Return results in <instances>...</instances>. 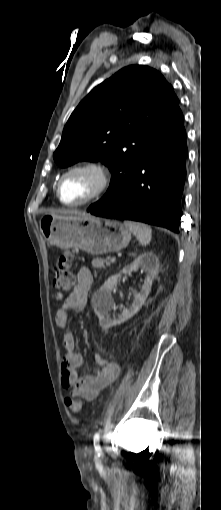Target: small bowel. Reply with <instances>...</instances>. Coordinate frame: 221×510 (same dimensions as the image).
Returning a JSON list of instances; mask_svg holds the SVG:
<instances>
[{
  "label": "small bowel",
  "mask_w": 221,
  "mask_h": 510,
  "mask_svg": "<svg viewBox=\"0 0 221 510\" xmlns=\"http://www.w3.org/2000/svg\"><path fill=\"white\" fill-rule=\"evenodd\" d=\"M93 284V276L87 267H81L76 274L73 292L66 297L55 317L57 326L64 328L69 323L68 311L85 308L88 293ZM65 354L62 359V384L65 388L74 386L71 394L93 400L119 376L120 369L113 357L94 352L96 367L88 374L78 377L77 371L84 365L83 357L76 351V337L66 332L63 338Z\"/></svg>",
  "instance_id": "1"
}]
</instances>
